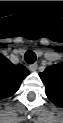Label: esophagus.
I'll list each match as a JSON object with an SVG mask.
<instances>
[{"label": "esophagus", "instance_id": "esophagus-1", "mask_svg": "<svg viewBox=\"0 0 63 123\" xmlns=\"http://www.w3.org/2000/svg\"><path fill=\"white\" fill-rule=\"evenodd\" d=\"M29 68H30L31 71H36L37 68H38V65H37L36 63H34V64H31V65L29 66Z\"/></svg>", "mask_w": 63, "mask_h": 123}]
</instances>
